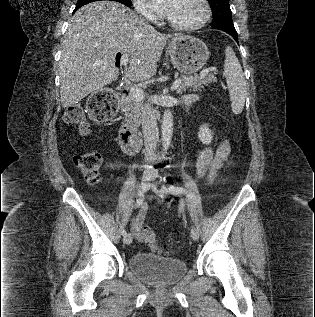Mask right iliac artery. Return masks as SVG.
<instances>
[{
  "mask_svg": "<svg viewBox=\"0 0 315 317\" xmlns=\"http://www.w3.org/2000/svg\"><path fill=\"white\" fill-rule=\"evenodd\" d=\"M144 202V194L142 191L138 192V198H137V207H140ZM122 235L125 236L126 235V230L122 231Z\"/></svg>",
  "mask_w": 315,
  "mask_h": 317,
  "instance_id": "obj_1",
  "label": "right iliac artery"
}]
</instances>
